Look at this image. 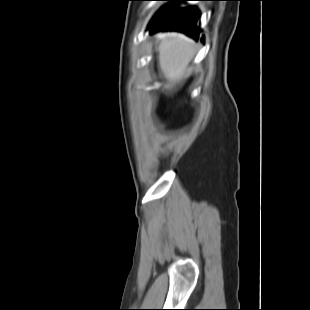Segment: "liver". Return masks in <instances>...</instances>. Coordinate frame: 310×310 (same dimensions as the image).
<instances>
[{
    "instance_id": "obj_1",
    "label": "liver",
    "mask_w": 310,
    "mask_h": 310,
    "mask_svg": "<svg viewBox=\"0 0 310 310\" xmlns=\"http://www.w3.org/2000/svg\"><path fill=\"white\" fill-rule=\"evenodd\" d=\"M194 54L195 43L190 38L176 32L163 35L158 45V60L160 70L168 81L167 89L187 77Z\"/></svg>"
}]
</instances>
